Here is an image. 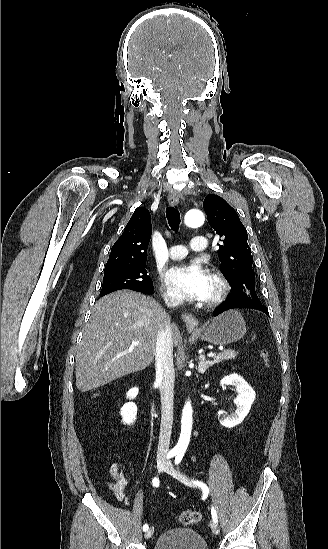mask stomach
<instances>
[{
    "label": "stomach",
    "mask_w": 328,
    "mask_h": 549,
    "mask_svg": "<svg viewBox=\"0 0 328 549\" xmlns=\"http://www.w3.org/2000/svg\"><path fill=\"white\" fill-rule=\"evenodd\" d=\"M246 323L237 309H229L212 319L210 325L201 331V341L212 345H229L243 339Z\"/></svg>",
    "instance_id": "0dacf381"
}]
</instances>
